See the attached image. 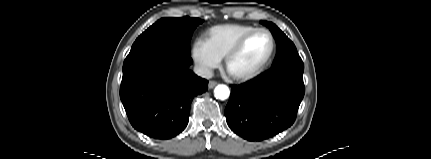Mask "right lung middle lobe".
<instances>
[{"label": "right lung middle lobe", "instance_id": "obj_1", "mask_svg": "<svg viewBox=\"0 0 431 159\" xmlns=\"http://www.w3.org/2000/svg\"><path fill=\"white\" fill-rule=\"evenodd\" d=\"M203 22L199 18H162L145 30L134 42L131 51L149 44L175 46L190 55V40L194 29Z\"/></svg>", "mask_w": 431, "mask_h": 159}]
</instances>
